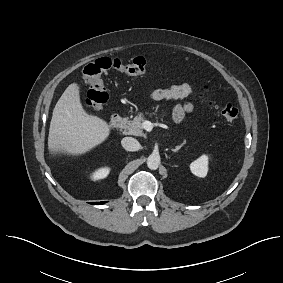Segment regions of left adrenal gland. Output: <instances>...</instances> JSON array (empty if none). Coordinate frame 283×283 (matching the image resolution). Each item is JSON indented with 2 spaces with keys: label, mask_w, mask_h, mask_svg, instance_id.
I'll return each mask as SVG.
<instances>
[{
  "label": "left adrenal gland",
  "mask_w": 283,
  "mask_h": 283,
  "mask_svg": "<svg viewBox=\"0 0 283 283\" xmlns=\"http://www.w3.org/2000/svg\"><path fill=\"white\" fill-rule=\"evenodd\" d=\"M184 144L185 143H182V144L176 146L175 148H172L171 151H173L175 153L178 152L184 146Z\"/></svg>",
  "instance_id": "obj_1"
}]
</instances>
